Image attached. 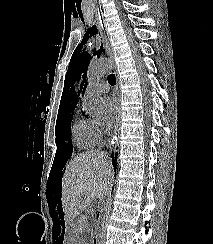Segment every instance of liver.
Here are the masks:
<instances>
[{"label":"liver","instance_id":"liver-1","mask_svg":"<svg viewBox=\"0 0 213 244\" xmlns=\"http://www.w3.org/2000/svg\"><path fill=\"white\" fill-rule=\"evenodd\" d=\"M111 177V163L102 151L83 153L67 165L61 200L69 231L76 228L74 220L81 210L109 193Z\"/></svg>","mask_w":213,"mask_h":244}]
</instances>
